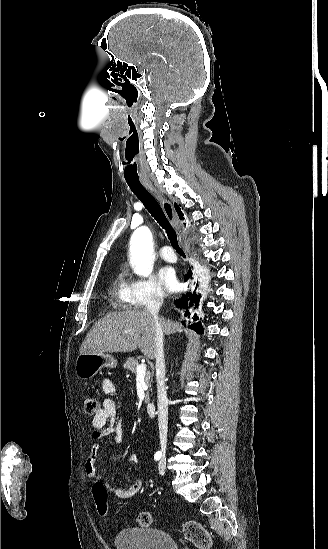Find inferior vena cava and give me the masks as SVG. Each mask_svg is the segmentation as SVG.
I'll use <instances>...</instances> for the list:
<instances>
[{
	"label": "inferior vena cava",
	"instance_id": "inferior-vena-cava-1",
	"mask_svg": "<svg viewBox=\"0 0 328 549\" xmlns=\"http://www.w3.org/2000/svg\"><path fill=\"white\" fill-rule=\"evenodd\" d=\"M163 305L162 299H151L146 303V313L155 321L156 341V381L158 403V425L162 453H166L168 431V399L165 387V361L163 351V333L159 325V311Z\"/></svg>",
	"mask_w": 328,
	"mask_h": 549
}]
</instances>
